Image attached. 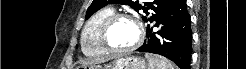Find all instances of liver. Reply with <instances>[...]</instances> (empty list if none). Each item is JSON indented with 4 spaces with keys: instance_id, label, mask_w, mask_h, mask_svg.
Listing matches in <instances>:
<instances>
[{
    "instance_id": "1",
    "label": "liver",
    "mask_w": 246,
    "mask_h": 69,
    "mask_svg": "<svg viewBox=\"0 0 246 69\" xmlns=\"http://www.w3.org/2000/svg\"><path fill=\"white\" fill-rule=\"evenodd\" d=\"M103 61H104V59H95V60L88 61L86 64H94V63L96 64V63H100Z\"/></svg>"
}]
</instances>
